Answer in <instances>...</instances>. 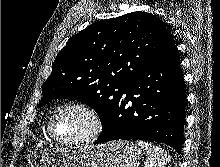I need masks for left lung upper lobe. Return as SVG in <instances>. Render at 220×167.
<instances>
[{
  "instance_id": "5c2ea615",
  "label": "left lung upper lobe",
  "mask_w": 220,
  "mask_h": 167,
  "mask_svg": "<svg viewBox=\"0 0 220 167\" xmlns=\"http://www.w3.org/2000/svg\"><path fill=\"white\" fill-rule=\"evenodd\" d=\"M175 49L170 28L151 13L95 22L58 53L38 107L56 98L77 100L96 110L104 126L129 80Z\"/></svg>"
}]
</instances>
